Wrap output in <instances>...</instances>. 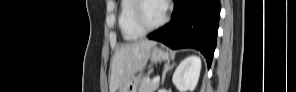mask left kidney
I'll return each instance as SVG.
<instances>
[{
    "label": "left kidney",
    "mask_w": 296,
    "mask_h": 92,
    "mask_svg": "<svg viewBox=\"0 0 296 92\" xmlns=\"http://www.w3.org/2000/svg\"><path fill=\"white\" fill-rule=\"evenodd\" d=\"M201 59L196 55L186 57L174 71L172 81L180 92L193 91L198 83Z\"/></svg>",
    "instance_id": "1"
}]
</instances>
